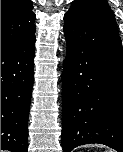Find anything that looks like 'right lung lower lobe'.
I'll return each mask as SVG.
<instances>
[{
  "label": "right lung lower lobe",
  "instance_id": "obj_1",
  "mask_svg": "<svg viewBox=\"0 0 123 152\" xmlns=\"http://www.w3.org/2000/svg\"><path fill=\"white\" fill-rule=\"evenodd\" d=\"M35 34L1 46V150L27 152Z\"/></svg>",
  "mask_w": 123,
  "mask_h": 152
}]
</instances>
